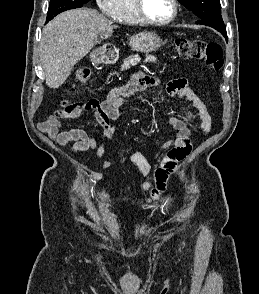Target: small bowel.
Masks as SVG:
<instances>
[{"mask_svg":"<svg viewBox=\"0 0 259 294\" xmlns=\"http://www.w3.org/2000/svg\"><path fill=\"white\" fill-rule=\"evenodd\" d=\"M158 84L157 78L139 73L134 75L127 85L110 91L103 100L79 101L65 109L55 111L45 121L40 122L38 128L61 147L73 143V154L92 151L97 158H101L105 152L104 141L114 140L117 132V128L112 126L110 122L119 118L126 99L137 92L157 87ZM166 92L173 100L187 99L190 102V109L183 108L185 115L183 119L176 116L169 118L170 126L176 131V139L167 142L165 147L171 145L174 147L167 151L160 160L159 167L155 171V186L153 187L149 181L143 183V190L149 193L147 202L156 201L161 197L166 189L167 180L177 164L190 154L192 146L189 124L197 117L204 135L210 132L212 126V119L205 104L189 87L186 79L180 78L170 81L166 86ZM86 113L93 114L103 129L100 142L81 128L61 130L63 120L77 118ZM130 159L135 164L139 175L146 176L151 171V163L140 151H133L130 154ZM111 164V159H107L103 162L102 167L109 168ZM88 176L95 180L103 178V174L100 172H89ZM103 197L107 199L109 196L104 193Z\"/></svg>","mask_w":259,"mask_h":294,"instance_id":"c3829d8e","label":"small bowel"}]
</instances>
